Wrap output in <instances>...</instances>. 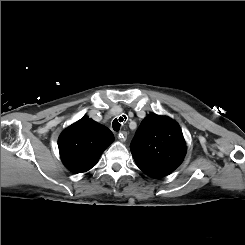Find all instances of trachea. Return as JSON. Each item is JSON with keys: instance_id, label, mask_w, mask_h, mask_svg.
Here are the masks:
<instances>
[{"instance_id": "1", "label": "trachea", "mask_w": 245, "mask_h": 245, "mask_svg": "<svg viewBox=\"0 0 245 245\" xmlns=\"http://www.w3.org/2000/svg\"><path fill=\"white\" fill-rule=\"evenodd\" d=\"M126 120H127L126 115H121L118 119L117 118L114 119V121L112 122L113 129L115 131H118Z\"/></svg>"}]
</instances>
